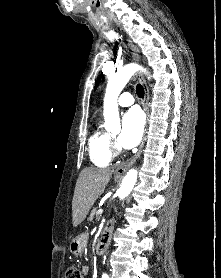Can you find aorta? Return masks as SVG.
I'll list each match as a JSON object with an SVG mask.
<instances>
[{
    "mask_svg": "<svg viewBox=\"0 0 221 278\" xmlns=\"http://www.w3.org/2000/svg\"><path fill=\"white\" fill-rule=\"evenodd\" d=\"M141 70L146 72L143 67L131 63L125 65L123 68L117 70V72L109 77L106 93L104 97L103 104V115L105 123L108 124L112 119L119 118L118 111V96L128 83L130 78L137 72ZM138 177V171L136 169H131L123 178L122 184L118 190V196L120 200L125 199L133 189Z\"/></svg>",
    "mask_w": 221,
    "mask_h": 278,
    "instance_id": "762f6f07",
    "label": "aorta"
}]
</instances>
